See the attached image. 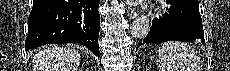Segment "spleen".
Segmentation results:
<instances>
[{"label": "spleen", "mask_w": 230, "mask_h": 71, "mask_svg": "<svg viewBox=\"0 0 230 71\" xmlns=\"http://www.w3.org/2000/svg\"><path fill=\"white\" fill-rule=\"evenodd\" d=\"M158 57L161 71H201L199 57L186 43H164L158 49Z\"/></svg>", "instance_id": "1"}]
</instances>
